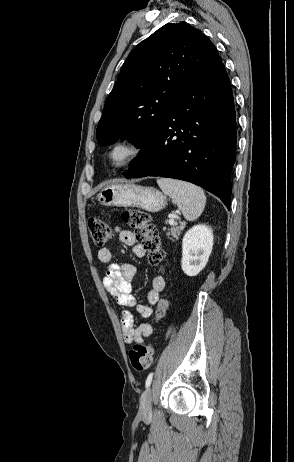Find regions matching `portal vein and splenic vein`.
I'll return each mask as SVG.
<instances>
[{"instance_id":"18ae733b","label":"portal vein and splenic vein","mask_w":294,"mask_h":462,"mask_svg":"<svg viewBox=\"0 0 294 462\" xmlns=\"http://www.w3.org/2000/svg\"><path fill=\"white\" fill-rule=\"evenodd\" d=\"M169 224H170V225H174V224H175V221H174L173 219H170V220H169Z\"/></svg>"}]
</instances>
